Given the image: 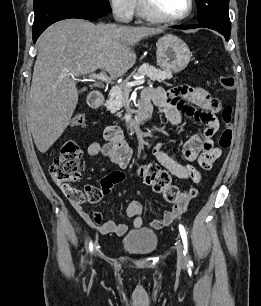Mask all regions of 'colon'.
Wrapping results in <instances>:
<instances>
[{
	"instance_id": "colon-1",
	"label": "colon",
	"mask_w": 261,
	"mask_h": 306,
	"mask_svg": "<svg viewBox=\"0 0 261 306\" xmlns=\"http://www.w3.org/2000/svg\"><path fill=\"white\" fill-rule=\"evenodd\" d=\"M220 84L225 90H232L235 87V80L232 76L220 77ZM222 120L224 128L219 136L218 145L221 149H228L233 141L234 130L232 126V108L225 106L222 110ZM74 127L83 128L86 126V119L83 114H77L72 119ZM82 151L79 145L68 140L63 143L60 153L56 156L50 166V175L52 180L66 189L69 196L79 203H97L104 194L100 187L91 186L84 191L73 189L69 183L76 182L81 178ZM137 173L139 177L152 189L161 193L164 199L169 203H176L184 198L194 199L198 191L195 188L190 189L186 193L181 192L176 186L171 184V177L168 172L162 170L156 163L142 164L138 167ZM124 179V174L112 172L108 176L111 182H119Z\"/></svg>"
}]
</instances>
